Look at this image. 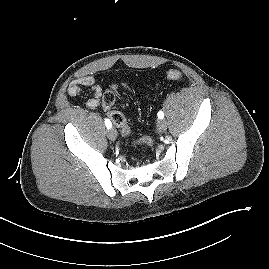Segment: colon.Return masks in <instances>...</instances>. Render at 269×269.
I'll return each instance as SVG.
<instances>
[{
	"mask_svg": "<svg viewBox=\"0 0 269 269\" xmlns=\"http://www.w3.org/2000/svg\"><path fill=\"white\" fill-rule=\"evenodd\" d=\"M167 78L172 81H178L182 78V73L179 70H169L166 74ZM118 92L117 85H111L110 88L104 93L102 97V105L107 110L109 118L113 124L119 128L120 133L124 137H128L131 134V126L127 122L125 116L119 112L112 110V107L116 101V95ZM141 143H150L151 139L148 137L142 138Z\"/></svg>",
	"mask_w": 269,
	"mask_h": 269,
	"instance_id": "1",
	"label": "colon"
}]
</instances>
